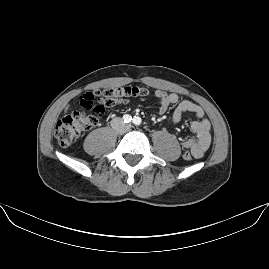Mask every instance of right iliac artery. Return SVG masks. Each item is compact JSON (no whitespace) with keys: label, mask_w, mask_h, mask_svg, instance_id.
Masks as SVG:
<instances>
[{"label":"right iliac artery","mask_w":269,"mask_h":269,"mask_svg":"<svg viewBox=\"0 0 269 269\" xmlns=\"http://www.w3.org/2000/svg\"><path fill=\"white\" fill-rule=\"evenodd\" d=\"M123 119H124L125 123H129V122H131L132 117L130 115L126 114L123 116Z\"/></svg>","instance_id":"right-iliac-artery-1"}]
</instances>
